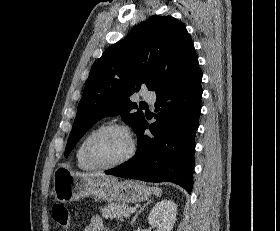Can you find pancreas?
<instances>
[{"label": "pancreas", "mask_w": 280, "mask_h": 231, "mask_svg": "<svg viewBox=\"0 0 280 231\" xmlns=\"http://www.w3.org/2000/svg\"><path fill=\"white\" fill-rule=\"evenodd\" d=\"M125 207H129L128 203H107L102 211V217H116V219H124V217H129L130 211H126Z\"/></svg>", "instance_id": "pancreas-1"}]
</instances>
